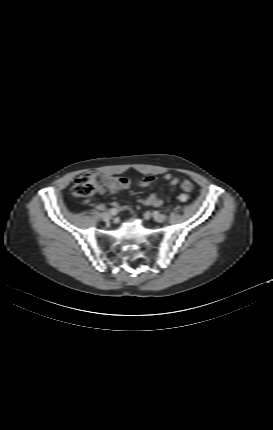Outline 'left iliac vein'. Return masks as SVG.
<instances>
[{"mask_svg":"<svg viewBox=\"0 0 273 430\" xmlns=\"http://www.w3.org/2000/svg\"><path fill=\"white\" fill-rule=\"evenodd\" d=\"M152 217L157 222H163L166 219V215L165 214H159V213H154L152 215Z\"/></svg>","mask_w":273,"mask_h":430,"instance_id":"1","label":"left iliac vein"}]
</instances>
